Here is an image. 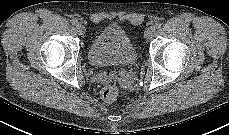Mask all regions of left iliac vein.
Masks as SVG:
<instances>
[{
	"mask_svg": "<svg viewBox=\"0 0 229 135\" xmlns=\"http://www.w3.org/2000/svg\"><path fill=\"white\" fill-rule=\"evenodd\" d=\"M154 34H155V27L151 26L146 29L144 36L146 39H151L153 38Z\"/></svg>",
	"mask_w": 229,
	"mask_h": 135,
	"instance_id": "4c4485c4",
	"label": "left iliac vein"
}]
</instances>
